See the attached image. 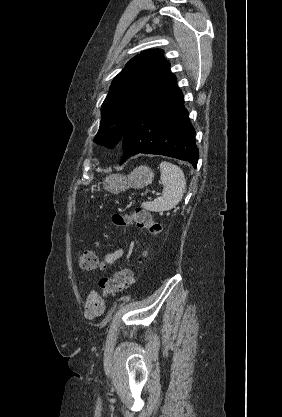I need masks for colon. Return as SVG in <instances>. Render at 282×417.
I'll return each instance as SVG.
<instances>
[{
	"instance_id": "1",
	"label": "colon",
	"mask_w": 282,
	"mask_h": 417,
	"mask_svg": "<svg viewBox=\"0 0 282 417\" xmlns=\"http://www.w3.org/2000/svg\"><path fill=\"white\" fill-rule=\"evenodd\" d=\"M112 222L115 227L120 229L136 225L154 235L161 231L159 223L154 220L153 216L148 211L141 208H136L131 211L115 212L112 215ZM77 260L79 266L87 271L96 270L101 266L96 255L88 250L80 251ZM138 263H141V261L139 260ZM132 275L133 269L125 267L118 271L113 277L100 280V308L103 306L106 298L115 296L118 292L127 288L132 283Z\"/></svg>"
}]
</instances>
